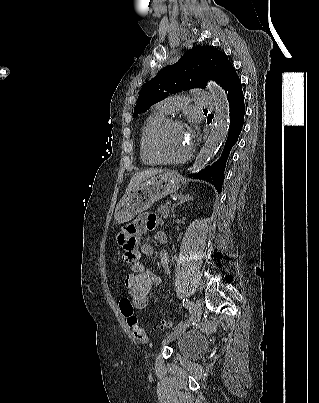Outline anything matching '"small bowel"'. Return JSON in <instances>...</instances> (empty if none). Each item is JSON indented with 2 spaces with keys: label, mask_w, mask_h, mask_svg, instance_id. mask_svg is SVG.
Listing matches in <instances>:
<instances>
[{
  "label": "small bowel",
  "mask_w": 319,
  "mask_h": 403,
  "mask_svg": "<svg viewBox=\"0 0 319 403\" xmlns=\"http://www.w3.org/2000/svg\"><path fill=\"white\" fill-rule=\"evenodd\" d=\"M160 224L161 220L155 214H144L135 219L131 224H124L121 227V232L115 233V247L121 248V260L126 261L128 264H133L135 263V258H139L140 255L153 254V246L149 243L142 244L141 240L138 239V237L147 232H154L157 242L160 244H165L167 242V236L164 232L158 230ZM135 248L139 249L135 251ZM159 260L165 272L169 274L170 264L168 253L164 250L160 251ZM143 267L145 266L143 265ZM146 275H154L155 277V282L152 284V289L160 286L161 278L158 275L152 273L147 268ZM150 301L156 303L158 301V297H154L152 300H149V302ZM133 305L135 309V304ZM129 338L131 339L130 335Z\"/></svg>",
  "instance_id": "c3829d8e"
}]
</instances>
